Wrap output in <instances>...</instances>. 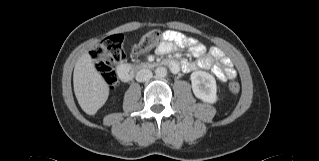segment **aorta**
<instances>
[{
  "label": "aorta",
  "mask_w": 319,
  "mask_h": 161,
  "mask_svg": "<svg viewBox=\"0 0 319 161\" xmlns=\"http://www.w3.org/2000/svg\"><path fill=\"white\" fill-rule=\"evenodd\" d=\"M155 75L158 78H164L167 75V69L165 67H157L155 69Z\"/></svg>",
  "instance_id": "762f6f07"
}]
</instances>
